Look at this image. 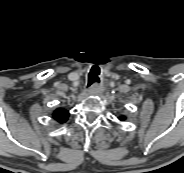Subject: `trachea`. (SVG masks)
<instances>
[{
	"instance_id": "obj_1",
	"label": "trachea",
	"mask_w": 184,
	"mask_h": 173,
	"mask_svg": "<svg viewBox=\"0 0 184 173\" xmlns=\"http://www.w3.org/2000/svg\"><path fill=\"white\" fill-rule=\"evenodd\" d=\"M94 83H99V78L96 73L90 72L88 76V86H91Z\"/></svg>"
}]
</instances>
